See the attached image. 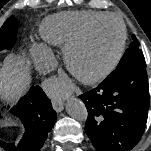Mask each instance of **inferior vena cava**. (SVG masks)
Masks as SVG:
<instances>
[{"instance_id": "obj_1", "label": "inferior vena cava", "mask_w": 151, "mask_h": 151, "mask_svg": "<svg viewBox=\"0 0 151 151\" xmlns=\"http://www.w3.org/2000/svg\"><path fill=\"white\" fill-rule=\"evenodd\" d=\"M57 59L53 55L47 56L45 59H43L42 62V68L44 69L45 72H50L53 71L57 67ZM56 104V102H53Z\"/></svg>"}]
</instances>
